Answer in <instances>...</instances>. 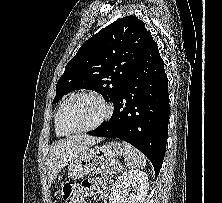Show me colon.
Wrapping results in <instances>:
<instances>
[{
    "label": "colon",
    "instance_id": "5ec220e1",
    "mask_svg": "<svg viewBox=\"0 0 222 203\" xmlns=\"http://www.w3.org/2000/svg\"><path fill=\"white\" fill-rule=\"evenodd\" d=\"M74 194V187L71 184H65L63 188L58 192V196L65 200L67 203H73L72 197Z\"/></svg>",
    "mask_w": 222,
    "mask_h": 203
}]
</instances>
